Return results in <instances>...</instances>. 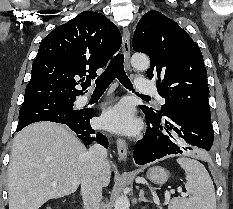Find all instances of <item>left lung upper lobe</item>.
<instances>
[{"label": "left lung upper lobe", "mask_w": 233, "mask_h": 209, "mask_svg": "<svg viewBox=\"0 0 233 209\" xmlns=\"http://www.w3.org/2000/svg\"><path fill=\"white\" fill-rule=\"evenodd\" d=\"M133 49L150 57L149 79H157V89L166 101L161 110L141 106L158 119L174 114H190L210 122L209 88L202 53L188 33L174 20L150 10L139 20Z\"/></svg>", "instance_id": "left-lung-upper-lobe-1"}]
</instances>
